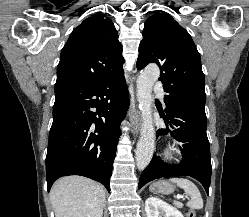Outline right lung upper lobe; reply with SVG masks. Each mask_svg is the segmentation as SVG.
Wrapping results in <instances>:
<instances>
[{"mask_svg":"<svg viewBox=\"0 0 249 217\" xmlns=\"http://www.w3.org/2000/svg\"><path fill=\"white\" fill-rule=\"evenodd\" d=\"M123 63L113 22L103 15L89 17L73 30L61 51L55 86L102 82L123 73Z\"/></svg>","mask_w":249,"mask_h":217,"instance_id":"obj_1","label":"right lung upper lobe"}]
</instances>
